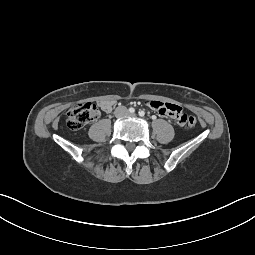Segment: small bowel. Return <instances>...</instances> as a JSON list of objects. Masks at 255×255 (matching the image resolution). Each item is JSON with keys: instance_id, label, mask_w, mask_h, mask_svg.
<instances>
[{"instance_id": "c3829d8e", "label": "small bowel", "mask_w": 255, "mask_h": 255, "mask_svg": "<svg viewBox=\"0 0 255 255\" xmlns=\"http://www.w3.org/2000/svg\"><path fill=\"white\" fill-rule=\"evenodd\" d=\"M114 104L115 100L112 99L101 100L99 102L100 108L106 113L111 112ZM145 104L149 108L158 112L160 115L167 116L168 119L173 122L174 126L176 127L185 126L188 123V116L178 105L161 102L158 100H147Z\"/></svg>"}]
</instances>
